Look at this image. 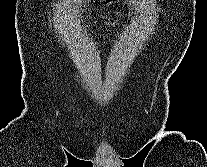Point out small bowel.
Returning <instances> with one entry per match:
<instances>
[{"mask_svg": "<svg viewBox=\"0 0 207 167\" xmlns=\"http://www.w3.org/2000/svg\"><path fill=\"white\" fill-rule=\"evenodd\" d=\"M103 2L111 5L112 2L110 0H102ZM104 23L108 26L111 27L114 25V21L111 18H105Z\"/></svg>", "mask_w": 207, "mask_h": 167, "instance_id": "obj_1", "label": "small bowel"}]
</instances>
